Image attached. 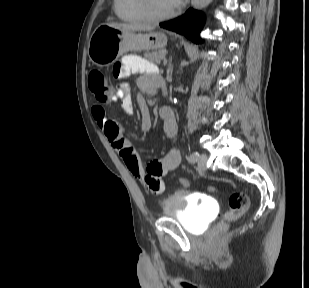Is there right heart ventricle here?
<instances>
[{
	"instance_id": "obj_1",
	"label": "right heart ventricle",
	"mask_w": 309,
	"mask_h": 288,
	"mask_svg": "<svg viewBox=\"0 0 309 288\" xmlns=\"http://www.w3.org/2000/svg\"><path fill=\"white\" fill-rule=\"evenodd\" d=\"M116 15L123 21L133 24L148 23L143 14L139 0H114Z\"/></svg>"
}]
</instances>
